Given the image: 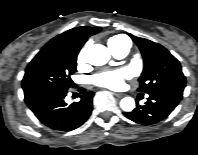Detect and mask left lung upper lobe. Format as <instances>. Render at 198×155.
I'll use <instances>...</instances> for the list:
<instances>
[{"mask_svg": "<svg viewBox=\"0 0 198 155\" xmlns=\"http://www.w3.org/2000/svg\"><path fill=\"white\" fill-rule=\"evenodd\" d=\"M129 36L138 45L145 62L138 90L147 94L163 90L183 93L186 78L179 61L160 44L131 34Z\"/></svg>", "mask_w": 198, "mask_h": 155, "instance_id": "obj_1", "label": "left lung upper lobe"}]
</instances>
